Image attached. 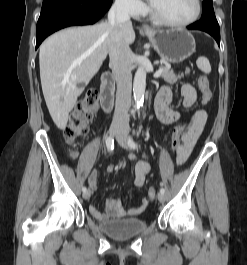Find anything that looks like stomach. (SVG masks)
I'll use <instances>...</instances> for the list:
<instances>
[{
	"instance_id": "obj_1",
	"label": "stomach",
	"mask_w": 247,
	"mask_h": 265,
	"mask_svg": "<svg viewBox=\"0 0 247 265\" xmlns=\"http://www.w3.org/2000/svg\"><path fill=\"white\" fill-rule=\"evenodd\" d=\"M145 35L161 59L169 63H180L195 52V39L184 29H151Z\"/></svg>"
}]
</instances>
